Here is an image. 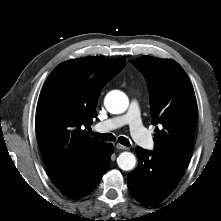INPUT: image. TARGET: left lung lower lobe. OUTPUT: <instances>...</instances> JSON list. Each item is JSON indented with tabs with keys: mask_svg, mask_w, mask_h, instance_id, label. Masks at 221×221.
Segmentation results:
<instances>
[{
	"mask_svg": "<svg viewBox=\"0 0 221 221\" xmlns=\"http://www.w3.org/2000/svg\"><path fill=\"white\" fill-rule=\"evenodd\" d=\"M136 153L139 164L128 174L129 190L143 204H158L179 182L184 164L140 147Z\"/></svg>",
	"mask_w": 221,
	"mask_h": 221,
	"instance_id": "1",
	"label": "left lung lower lobe"
}]
</instances>
